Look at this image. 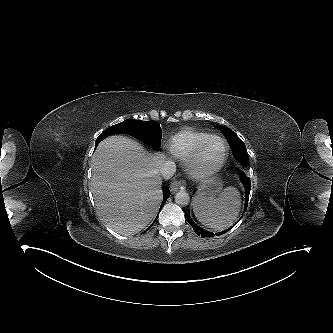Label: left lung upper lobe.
<instances>
[{
    "label": "left lung upper lobe",
    "instance_id": "left-lung-upper-lobe-1",
    "mask_svg": "<svg viewBox=\"0 0 333 333\" xmlns=\"http://www.w3.org/2000/svg\"><path fill=\"white\" fill-rule=\"evenodd\" d=\"M216 128L225 134L233 150L234 157L236 159H240L242 164L246 166L249 160L244 142L230 128L224 127L222 125H216ZM241 174L242 172L240 173V176Z\"/></svg>",
    "mask_w": 333,
    "mask_h": 333
}]
</instances>
